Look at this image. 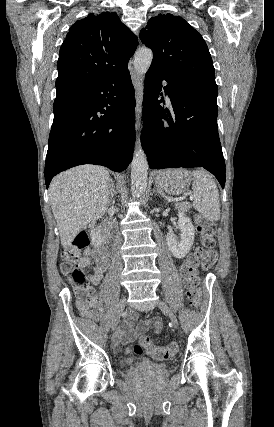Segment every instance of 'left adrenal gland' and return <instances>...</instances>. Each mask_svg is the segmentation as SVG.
I'll return each mask as SVG.
<instances>
[{
    "instance_id": "left-adrenal-gland-1",
    "label": "left adrenal gland",
    "mask_w": 274,
    "mask_h": 427,
    "mask_svg": "<svg viewBox=\"0 0 274 427\" xmlns=\"http://www.w3.org/2000/svg\"><path fill=\"white\" fill-rule=\"evenodd\" d=\"M153 192H158V194H160V196H164L163 192H161V190H159V188H154Z\"/></svg>"
}]
</instances>
